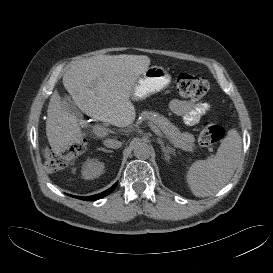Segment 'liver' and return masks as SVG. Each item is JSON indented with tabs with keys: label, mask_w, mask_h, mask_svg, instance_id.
Instances as JSON below:
<instances>
[{
	"label": "liver",
	"mask_w": 273,
	"mask_h": 273,
	"mask_svg": "<svg viewBox=\"0 0 273 273\" xmlns=\"http://www.w3.org/2000/svg\"><path fill=\"white\" fill-rule=\"evenodd\" d=\"M145 55H98L85 58L63 75V85L76 106L87 116L117 127L136 117L130 100L138 77L149 67ZM48 142L56 155L85 136L75 113L69 111L57 91L51 95L46 120Z\"/></svg>",
	"instance_id": "obj_1"
}]
</instances>
